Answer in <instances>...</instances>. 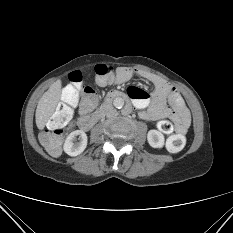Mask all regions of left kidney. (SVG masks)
I'll use <instances>...</instances> for the list:
<instances>
[{"instance_id": "left-kidney-1", "label": "left kidney", "mask_w": 233, "mask_h": 233, "mask_svg": "<svg viewBox=\"0 0 233 233\" xmlns=\"http://www.w3.org/2000/svg\"><path fill=\"white\" fill-rule=\"evenodd\" d=\"M147 140L153 148H162L164 146V135L158 130H150L147 134Z\"/></svg>"}]
</instances>
